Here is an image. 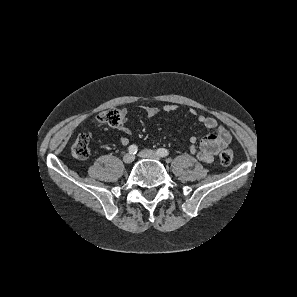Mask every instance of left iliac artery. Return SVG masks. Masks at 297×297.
<instances>
[{"mask_svg":"<svg viewBox=\"0 0 297 297\" xmlns=\"http://www.w3.org/2000/svg\"><path fill=\"white\" fill-rule=\"evenodd\" d=\"M156 153L160 156V157H166L169 155V151L165 148H159Z\"/></svg>","mask_w":297,"mask_h":297,"instance_id":"44dca946","label":"left iliac artery"}]
</instances>
